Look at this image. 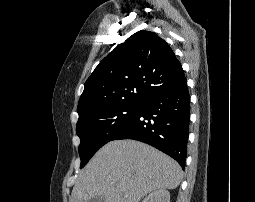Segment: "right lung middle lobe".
Masks as SVG:
<instances>
[{"instance_id":"right-lung-middle-lobe-1","label":"right lung middle lobe","mask_w":255,"mask_h":202,"mask_svg":"<svg viewBox=\"0 0 255 202\" xmlns=\"http://www.w3.org/2000/svg\"><path fill=\"white\" fill-rule=\"evenodd\" d=\"M141 104H119L101 108L78 119L76 133L80 138V168L95 152L111 141L133 118Z\"/></svg>"}]
</instances>
